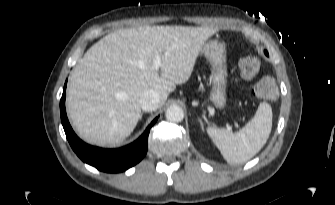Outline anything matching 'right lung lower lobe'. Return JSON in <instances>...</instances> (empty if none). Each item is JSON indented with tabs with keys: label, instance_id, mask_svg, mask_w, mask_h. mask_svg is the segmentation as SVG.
Returning <instances> with one entry per match:
<instances>
[{
	"label": "right lung lower lobe",
	"instance_id": "obj_1",
	"mask_svg": "<svg viewBox=\"0 0 335 205\" xmlns=\"http://www.w3.org/2000/svg\"><path fill=\"white\" fill-rule=\"evenodd\" d=\"M65 82L63 94L60 100L61 122L66 137L78 157L100 171L117 173L127 170L143 159L148 148V135L151 127L156 123L155 118L146 128L144 133L132 144L119 149H102L90 146L81 141L71 128L65 110L66 97Z\"/></svg>",
	"mask_w": 335,
	"mask_h": 205
}]
</instances>
